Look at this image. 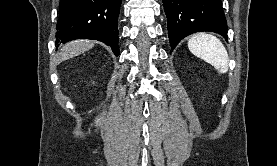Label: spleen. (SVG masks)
Wrapping results in <instances>:
<instances>
[{
	"label": "spleen",
	"mask_w": 277,
	"mask_h": 166,
	"mask_svg": "<svg viewBox=\"0 0 277 166\" xmlns=\"http://www.w3.org/2000/svg\"><path fill=\"white\" fill-rule=\"evenodd\" d=\"M188 48L192 54L211 64L218 72L228 71V53L217 37L198 33L189 39Z\"/></svg>",
	"instance_id": "obj_1"
}]
</instances>
